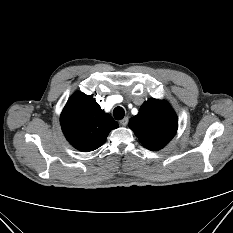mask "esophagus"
I'll use <instances>...</instances> for the list:
<instances>
[{
  "label": "esophagus",
  "mask_w": 233,
  "mask_h": 233,
  "mask_svg": "<svg viewBox=\"0 0 233 233\" xmlns=\"http://www.w3.org/2000/svg\"><path fill=\"white\" fill-rule=\"evenodd\" d=\"M128 121H129V118L124 117L122 120H120L119 123H120V125L125 126V125H127Z\"/></svg>",
  "instance_id": "esophagus-1"
}]
</instances>
